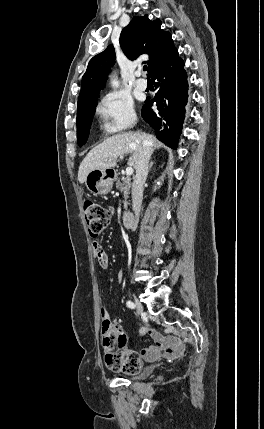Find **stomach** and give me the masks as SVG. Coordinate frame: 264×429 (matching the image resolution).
I'll use <instances>...</instances> for the list:
<instances>
[{"instance_id": "0dacf381", "label": "stomach", "mask_w": 264, "mask_h": 429, "mask_svg": "<svg viewBox=\"0 0 264 429\" xmlns=\"http://www.w3.org/2000/svg\"><path fill=\"white\" fill-rule=\"evenodd\" d=\"M115 179L116 172L114 169H96L90 171L87 174L85 185L87 189L95 196L106 195L112 189L113 182Z\"/></svg>"}]
</instances>
